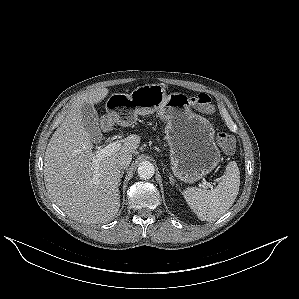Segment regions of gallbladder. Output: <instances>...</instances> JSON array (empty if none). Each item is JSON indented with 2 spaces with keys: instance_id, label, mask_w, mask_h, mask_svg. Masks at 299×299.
<instances>
[{
  "instance_id": "bac80fb5",
  "label": "gallbladder",
  "mask_w": 299,
  "mask_h": 299,
  "mask_svg": "<svg viewBox=\"0 0 299 299\" xmlns=\"http://www.w3.org/2000/svg\"><path fill=\"white\" fill-rule=\"evenodd\" d=\"M82 123L85 130L91 135V139L98 141L101 138L100 120L91 104L85 103L81 109Z\"/></svg>"
}]
</instances>
